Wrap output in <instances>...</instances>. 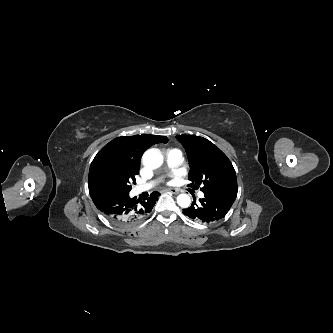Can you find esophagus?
Wrapping results in <instances>:
<instances>
[{"label": "esophagus", "mask_w": 333, "mask_h": 333, "mask_svg": "<svg viewBox=\"0 0 333 333\" xmlns=\"http://www.w3.org/2000/svg\"><path fill=\"white\" fill-rule=\"evenodd\" d=\"M166 191L170 192L172 194H179V191L177 189H175V188H170V189H167Z\"/></svg>", "instance_id": "1"}]
</instances>
